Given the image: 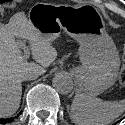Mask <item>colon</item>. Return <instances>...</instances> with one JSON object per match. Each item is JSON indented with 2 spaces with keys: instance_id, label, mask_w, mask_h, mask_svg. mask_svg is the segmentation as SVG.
<instances>
[{
  "instance_id": "1",
  "label": "colon",
  "mask_w": 125,
  "mask_h": 125,
  "mask_svg": "<svg viewBox=\"0 0 125 125\" xmlns=\"http://www.w3.org/2000/svg\"><path fill=\"white\" fill-rule=\"evenodd\" d=\"M120 83L125 86V44H124V49H123V66L120 72V77H119Z\"/></svg>"
}]
</instances>
